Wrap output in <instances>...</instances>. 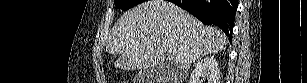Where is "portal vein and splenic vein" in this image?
<instances>
[{"mask_svg": "<svg viewBox=\"0 0 307 83\" xmlns=\"http://www.w3.org/2000/svg\"><path fill=\"white\" fill-rule=\"evenodd\" d=\"M168 53H169L170 55H174V54L176 53V50H175V49H169V50H168Z\"/></svg>", "mask_w": 307, "mask_h": 83, "instance_id": "portal-vein-and-splenic-vein-1", "label": "portal vein and splenic vein"}]
</instances>
